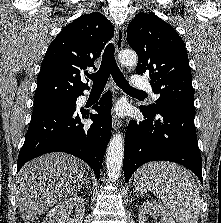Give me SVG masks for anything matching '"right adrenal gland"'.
<instances>
[{"label": "right adrenal gland", "instance_id": "obj_1", "mask_svg": "<svg viewBox=\"0 0 221 223\" xmlns=\"http://www.w3.org/2000/svg\"><path fill=\"white\" fill-rule=\"evenodd\" d=\"M85 186L91 188V187H90V182H89V179H88V178H86L85 183H84V185H83V188H85Z\"/></svg>", "mask_w": 221, "mask_h": 223}]
</instances>
